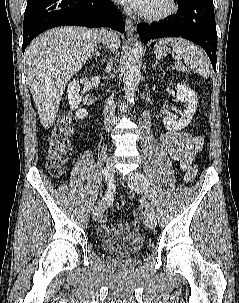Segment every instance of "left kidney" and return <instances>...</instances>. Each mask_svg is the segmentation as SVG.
I'll use <instances>...</instances> for the list:
<instances>
[{
	"mask_svg": "<svg viewBox=\"0 0 239 303\" xmlns=\"http://www.w3.org/2000/svg\"><path fill=\"white\" fill-rule=\"evenodd\" d=\"M177 99L185 103L186 108L181 114V118L174 120L170 117H165L163 123L167 130L176 132L188 126L196 112L198 97L197 94L185 84H177Z\"/></svg>",
	"mask_w": 239,
	"mask_h": 303,
	"instance_id": "obj_1",
	"label": "left kidney"
}]
</instances>
